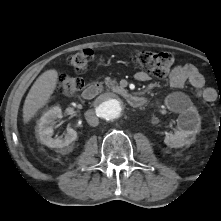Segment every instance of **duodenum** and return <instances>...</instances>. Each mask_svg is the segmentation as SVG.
I'll return each mask as SVG.
<instances>
[{
	"label": "duodenum",
	"mask_w": 221,
	"mask_h": 221,
	"mask_svg": "<svg viewBox=\"0 0 221 221\" xmlns=\"http://www.w3.org/2000/svg\"><path fill=\"white\" fill-rule=\"evenodd\" d=\"M102 90V85L98 82L89 84L83 91V97L86 100L95 98ZM121 97L128 101L132 107H140L145 103L143 97L137 96L129 91H121L118 93Z\"/></svg>",
	"instance_id": "1"
}]
</instances>
